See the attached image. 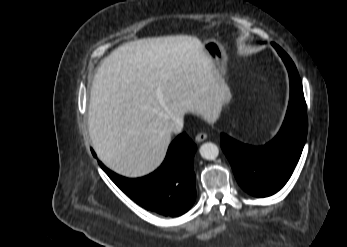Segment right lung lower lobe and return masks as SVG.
I'll list each match as a JSON object with an SVG mask.
<instances>
[{"label":"right lung lower lobe","instance_id":"right-lung-lower-lobe-1","mask_svg":"<svg viewBox=\"0 0 347 247\" xmlns=\"http://www.w3.org/2000/svg\"><path fill=\"white\" fill-rule=\"evenodd\" d=\"M195 151V144L186 133H182L170 144L162 165L153 173L137 179L119 176L100 161L98 163L110 179L137 204L149 211L173 217L188 211L195 202ZM92 153L96 157L94 151Z\"/></svg>","mask_w":347,"mask_h":247}]
</instances>
